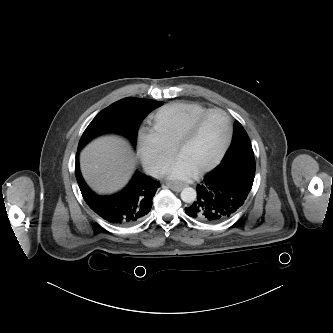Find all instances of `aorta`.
I'll list each match as a JSON object with an SVG mask.
<instances>
[{"label": "aorta", "mask_w": 333, "mask_h": 333, "mask_svg": "<svg viewBox=\"0 0 333 333\" xmlns=\"http://www.w3.org/2000/svg\"><path fill=\"white\" fill-rule=\"evenodd\" d=\"M181 199L183 202L192 203L196 199V191L191 187H186L181 192Z\"/></svg>", "instance_id": "1"}]
</instances>
